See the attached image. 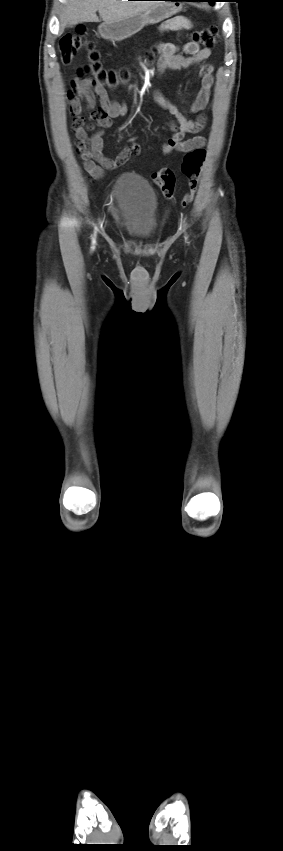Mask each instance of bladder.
Returning a JSON list of instances; mask_svg holds the SVG:
<instances>
[{"mask_svg": "<svg viewBox=\"0 0 283 851\" xmlns=\"http://www.w3.org/2000/svg\"><path fill=\"white\" fill-rule=\"evenodd\" d=\"M119 222L129 236L152 238L156 228L157 196L149 183L132 173L122 174L113 188Z\"/></svg>", "mask_w": 283, "mask_h": 851, "instance_id": "bladder-1", "label": "bladder"}]
</instances>
